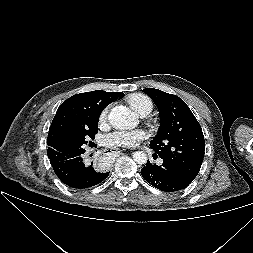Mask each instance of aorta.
Listing matches in <instances>:
<instances>
[{
  "label": "aorta",
  "mask_w": 253,
  "mask_h": 253,
  "mask_svg": "<svg viewBox=\"0 0 253 253\" xmlns=\"http://www.w3.org/2000/svg\"><path fill=\"white\" fill-rule=\"evenodd\" d=\"M108 120L110 124L120 130L134 128L138 124L137 116L125 106H116L111 109ZM133 160L140 165L147 162V155L142 151L133 154Z\"/></svg>",
  "instance_id": "aorta-1"
}]
</instances>
